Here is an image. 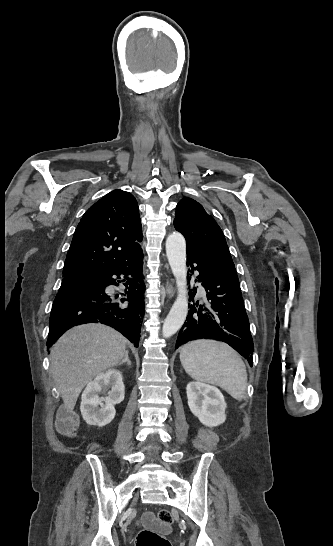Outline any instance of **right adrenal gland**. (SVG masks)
<instances>
[{
	"mask_svg": "<svg viewBox=\"0 0 333 546\" xmlns=\"http://www.w3.org/2000/svg\"><path fill=\"white\" fill-rule=\"evenodd\" d=\"M123 363H127L128 366H131V361L129 360L127 350L125 352V355H124V358L122 359V361L118 363V366L122 365Z\"/></svg>",
	"mask_w": 333,
	"mask_h": 546,
	"instance_id": "obj_1",
	"label": "right adrenal gland"
}]
</instances>
